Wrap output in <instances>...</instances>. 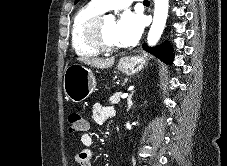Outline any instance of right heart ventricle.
I'll return each instance as SVG.
<instances>
[{
	"instance_id": "obj_1",
	"label": "right heart ventricle",
	"mask_w": 227,
	"mask_h": 166,
	"mask_svg": "<svg viewBox=\"0 0 227 166\" xmlns=\"http://www.w3.org/2000/svg\"><path fill=\"white\" fill-rule=\"evenodd\" d=\"M106 10H103L93 0L82 6L74 15L71 25V45L77 55L95 56L98 50L88 44L84 37V27L86 23L94 16H97Z\"/></svg>"
}]
</instances>
